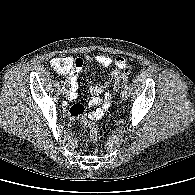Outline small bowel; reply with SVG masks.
<instances>
[{"label":"small bowel","instance_id":"obj_1","mask_svg":"<svg viewBox=\"0 0 195 195\" xmlns=\"http://www.w3.org/2000/svg\"><path fill=\"white\" fill-rule=\"evenodd\" d=\"M72 62V66L66 72H62L68 75V84L70 86V93L68 98L70 100L76 97V92L78 89V75L82 72L84 66V58L69 57ZM85 60L89 61L91 64L94 62L98 63L103 67H110L115 64L116 69L111 73V80L115 79L117 75L126 66V61L123 57H117L114 60L106 55H96L94 58L86 56ZM111 80L101 84L95 85L90 88V93L92 98L90 100L91 106H97V108L92 111L89 115L91 120H98L102 118L108 111L111 103ZM84 113V107L81 104H75L70 108V115L74 119L81 116Z\"/></svg>","mask_w":195,"mask_h":195}]
</instances>
